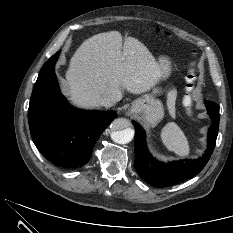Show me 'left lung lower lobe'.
Listing matches in <instances>:
<instances>
[{
	"label": "left lung lower lobe",
	"mask_w": 233,
	"mask_h": 233,
	"mask_svg": "<svg viewBox=\"0 0 233 233\" xmlns=\"http://www.w3.org/2000/svg\"><path fill=\"white\" fill-rule=\"evenodd\" d=\"M206 108L212 119L208 130V148L205 155L196 160H179L167 164L159 162L145 146L143 129L132 122L135 127V169L144 181L157 187L171 186L195 176L204 168L215 148L220 119L216 103L206 101Z\"/></svg>",
	"instance_id": "obj_1"
}]
</instances>
